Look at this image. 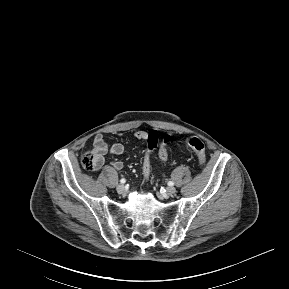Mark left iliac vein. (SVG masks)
<instances>
[{
    "label": "left iliac vein",
    "mask_w": 289,
    "mask_h": 289,
    "mask_svg": "<svg viewBox=\"0 0 289 289\" xmlns=\"http://www.w3.org/2000/svg\"><path fill=\"white\" fill-rule=\"evenodd\" d=\"M166 192L168 194H174L176 192V188L173 187V186H169V187L166 188Z\"/></svg>",
    "instance_id": "left-iliac-vein-1"
}]
</instances>
